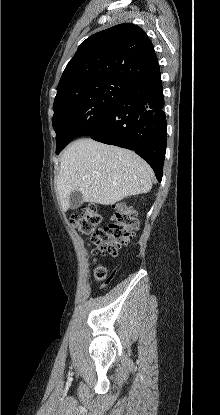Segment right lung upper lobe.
Returning a JSON list of instances; mask_svg holds the SVG:
<instances>
[{"label": "right lung upper lobe", "instance_id": "cb5924a9", "mask_svg": "<svg viewBox=\"0 0 220 415\" xmlns=\"http://www.w3.org/2000/svg\"><path fill=\"white\" fill-rule=\"evenodd\" d=\"M158 73V60L147 34L137 25L124 23L90 36L78 47L57 93L100 79H120L134 85Z\"/></svg>", "mask_w": 220, "mask_h": 415}]
</instances>
